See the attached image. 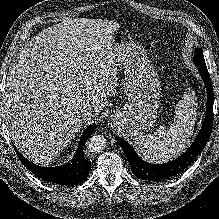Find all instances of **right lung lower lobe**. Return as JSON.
<instances>
[{
    "instance_id": "1",
    "label": "right lung lower lobe",
    "mask_w": 219,
    "mask_h": 219,
    "mask_svg": "<svg viewBox=\"0 0 219 219\" xmlns=\"http://www.w3.org/2000/svg\"><path fill=\"white\" fill-rule=\"evenodd\" d=\"M95 129L96 124L85 129L72 162L58 167L47 168L34 165L14 149L22 164L39 178L62 185H76L83 182L89 175L91 162L83 156V146Z\"/></svg>"
}]
</instances>
